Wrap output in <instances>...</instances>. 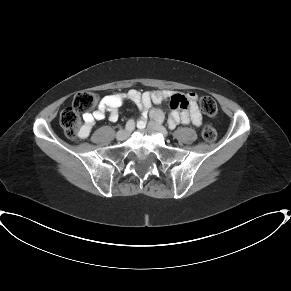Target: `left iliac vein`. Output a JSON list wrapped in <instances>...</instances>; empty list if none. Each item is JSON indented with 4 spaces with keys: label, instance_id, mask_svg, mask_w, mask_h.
Instances as JSON below:
<instances>
[{
    "label": "left iliac vein",
    "instance_id": "1",
    "mask_svg": "<svg viewBox=\"0 0 291 291\" xmlns=\"http://www.w3.org/2000/svg\"><path fill=\"white\" fill-rule=\"evenodd\" d=\"M148 127L151 129V130H154V131H157L159 132L160 134H162L163 136H167V131L166 129L161 126L159 123L157 122H154V121H150L148 123Z\"/></svg>",
    "mask_w": 291,
    "mask_h": 291
}]
</instances>
